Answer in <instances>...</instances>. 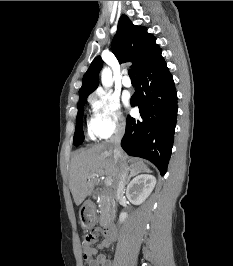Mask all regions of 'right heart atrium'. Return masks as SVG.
Returning <instances> with one entry per match:
<instances>
[{"label":"right heart atrium","instance_id":"d8ad5b80","mask_svg":"<svg viewBox=\"0 0 233 266\" xmlns=\"http://www.w3.org/2000/svg\"><path fill=\"white\" fill-rule=\"evenodd\" d=\"M92 118L89 133L94 138H108L121 132L125 118L119 98L105 90H98L91 98Z\"/></svg>","mask_w":233,"mask_h":266}]
</instances>
